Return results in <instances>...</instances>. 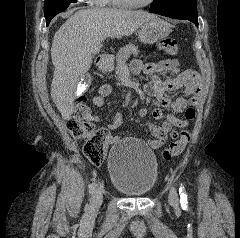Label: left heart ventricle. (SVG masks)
<instances>
[{
	"instance_id": "left-heart-ventricle-1",
	"label": "left heart ventricle",
	"mask_w": 240,
	"mask_h": 238,
	"mask_svg": "<svg viewBox=\"0 0 240 238\" xmlns=\"http://www.w3.org/2000/svg\"><path fill=\"white\" fill-rule=\"evenodd\" d=\"M127 1L135 2V3H144V2H146L147 0H127Z\"/></svg>"
}]
</instances>
